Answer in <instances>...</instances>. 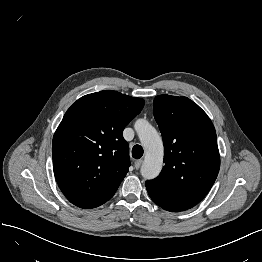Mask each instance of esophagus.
Segmentation results:
<instances>
[{"mask_svg": "<svg viewBox=\"0 0 262 262\" xmlns=\"http://www.w3.org/2000/svg\"><path fill=\"white\" fill-rule=\"evenodd\" d=\"M142 163H143V160H136L135 162H134V167H135V169H139L140 167H141V165H142Z\"/></svg>", "mask_w": 262, "mask_h": 262, "instance_id": "1", "label": "esophagus"}]
</instances>
